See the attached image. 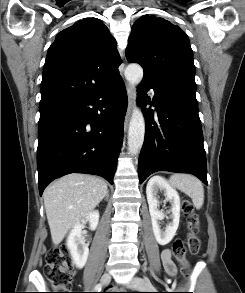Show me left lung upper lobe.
Wrapping results in <instances>:
<instances>
[{
	"label": "left lung upper lobe",
	"mask_w": 245,
	"mask_h": 293,
	"mask_svg": "<svg viewBox=\"0 0 245 293\" xmlns=\"http://www.w3.org/2000/svg\"><path fill=\"white\" fill-rule=\"evenodd\" d=\"M126 58L143 67V82L197 103L192 49L177 25L160 17L142 16L132 27Z\"/></svg>",
	"instance_id": "obj_1"
}]
</instances>
